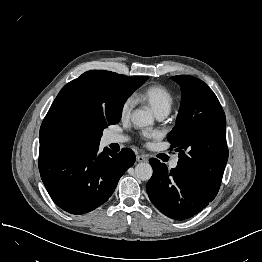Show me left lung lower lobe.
I'll return each mask as SVG.
<instances>
[{"mask_svg":"<svg viewBox=\"0 0 262 262\" xmlns=\"http://www.w3.org/2000/svg\"><path fill=\"white\" fill-rule=\"evenodd\" d=\"M153 175L146 191L153 205L174 220H185L201 212L213 199L202 191L178 168L167 170L155 158L149 160Z\"/></svg>","mask_w":262,"mask_h":262,"instance_id":"1","label":"left lung lower lobe"}]
</instances>
